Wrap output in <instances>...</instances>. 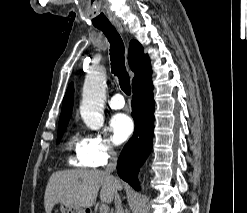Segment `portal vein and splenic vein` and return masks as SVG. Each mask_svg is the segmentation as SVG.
I'll use <instances>...</instances> for the list:
<instances>
[{
  "mask_svg": "<svg viewBox=\"0 0 247 213\" xmlns=\"http://www.w3.org/2000/svg\"><path fill=\"white\" fill-rule=\"evenodd\" d=\"M109 212V207L106 204H101L100 206V213H108Z\"/></svg>",
  "mask_w": 247,
  "mask_h": 213,
  "instance_id": "1",
  "label": "portal vein and splenic vein"
}]
</instances>
